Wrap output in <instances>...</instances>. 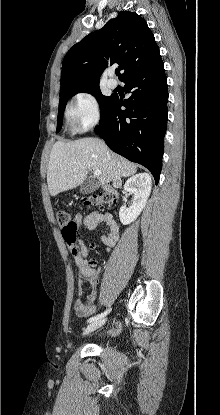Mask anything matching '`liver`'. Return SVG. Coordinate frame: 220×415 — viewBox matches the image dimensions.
Segmentation results:
<instances>
[{"label": "liver", "mask_w": 220, "mask_h": 415, "mask_svg": "<svg viewBox=\"0 0 220 415\" xmlns=\"http://www.w3.org/2000/svg\"><path fill=\"white\" fill-rule=\"evenodd\" d=\"M100 170L99 182L105 185L116 178L129 177L137 167L109 151L103 141L89 137L72 142L57 141L51 150L47 184L51 196L81 185L88 171Z\"/></svg>", "instance_id": "1"}]
</instances>
